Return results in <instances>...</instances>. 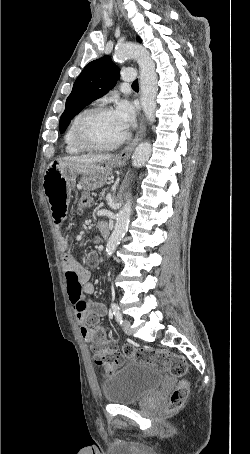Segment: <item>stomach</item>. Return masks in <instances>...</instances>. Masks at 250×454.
Returning <instances> with one entry per match:
<instances>
[{"instance_id":"stomach-1","label":"stomach","mask_w":250,"mask_h":454,"mask_svg":"<svg viewBox=\"0 0 250 454\" xmlns=\"http://www.w3.org/2000/svg\"><path fill=\"white\" fill-rule=\"evenodd\" d=\"M125 165V159L113 157L105 162L89 165H71L65 162H52L46 169L44 176H81L82 184L87 189L101 187L111 175L113 167ZM44 188V185H43Z\"/></svg>"}]
</instances>
